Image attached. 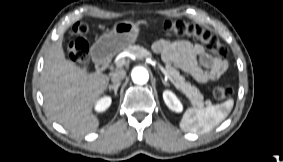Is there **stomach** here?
<instances>
[{
    "instance_id": "stomach-1",
    "label": "stomach",
    "mask_w": 283,
    "mask_h": 162,
    "mask_svg": "<svg viewBox=\"0 0 283 162\" xmlns=\"http://www.w3.org/2000/svg\"><path fill=\"white\" fill-rule=\"evenodd\" d=\"M140 24L131 20L116 22L109 33L102 35L92 47V52L97 59H104L119 53L138 38Z\"/></svg>"
}]
</instances>
